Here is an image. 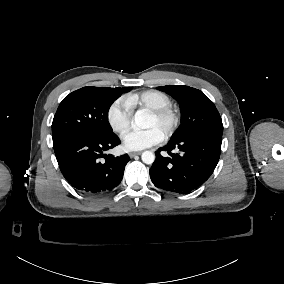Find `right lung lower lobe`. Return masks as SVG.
<instances>
[{
	"mask_svg": "<svg viewBox=\"0 0 284 284\" xmlns=\"http://www.w3.org/2000/svg\"><path fill=\"white\" fill-rule=\"evenodd\" d=\"M118 144L120 139L111 133L73 135L53 144V147L65 179L82 193L99 194L120 184L125 165L130 160L128 155L114 157L104 154Z\"/></svg>",
	"mask_w": 284,
	"mask_h": 284,
	"instance_id": "98d812e1",
	"label": "right lung lower lobe"
}]
</instances>
